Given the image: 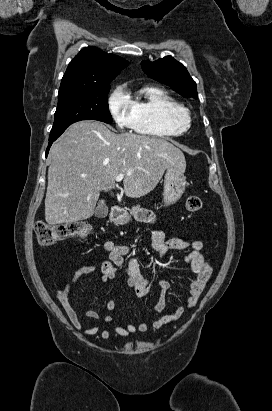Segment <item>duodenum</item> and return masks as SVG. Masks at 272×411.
Segmentation results:
<instances>
[{
  "label": "duodenum",
  "instance_id": "410a0bca",
  "mask_svg": "<svg viewBox=\"0 0 272 411\" xmlns=\"http://www.w3.org/2000/svg\"><path fill=\"white\" fill-rule=\"evenodd\" d=\"M123 213H124V209L119 205L113 206L110 209V216L114 220L119 218Z\"/></svg>",
  "mask_w": 272,
  "mask_h": 411
}]
</instances>
